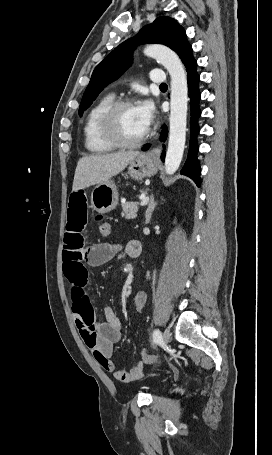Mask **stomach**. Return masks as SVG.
Returning a JSON list of instances; mask_svg holds the SVG:
<instances>
[{
    "label": "stomach",
    "instance_id": "obj_1",
    "mask_svg": "<svg viewBox=\"0 0 272 455\" xmlns=\"http://www.w3.org/2000/svg\"><path fill=\"white\" fill-rule=\"evenodd\" d=\"M157 161L149 154L141 153L128 166V174L135 180L156 174ZM118 204V191L111 180L98 184L91 193V206L98 213H108Z\"/></svg>",
    "mask_w": 272,
    "mask_h": 455
}]
</instances>
